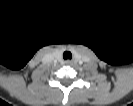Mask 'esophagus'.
<instances>
[{"label": "esophagus", "mask_w": 133, "mask_h": 106, "mask_svg": "<svg viewBox=\"0 0 133 106\" xmlns=\"http://www.w3.org/2000/svg\"><path fill=\"white\" fill-rule=\"evenodd\" d=\"M65 63H66V64H70V63H71V61H70V60H67V61H65Z\"/></svg>", "instance_id": "34e87169"}]
</instances>
